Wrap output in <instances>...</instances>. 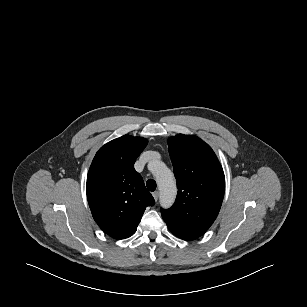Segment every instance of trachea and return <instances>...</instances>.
<instances>
[{"mask_svg": "<svg viewBox=\"0 0 307 307\" xmlns=\"http://www.w3.org/2000/svg\"><path fill=\"white\" fill-rule=\"evenodd\" d=\"M146 186L147 188L150 190V191H155L156 189V182L153 180V179H149L147 182H146Z\"/></svg>", "mask_w": 307, "mask_h": 307, "instance_id": "1", "label": "trachea"}]
</instances>
